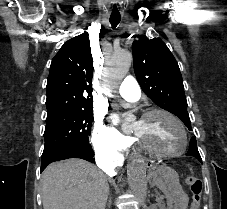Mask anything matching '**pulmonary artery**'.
<instances>
[{
	"label": "pulmonary artery",
	"mask_w": 227,
	"mask_h": 209,
	"mask_svg": "<svg viewBox=\"0 0 227 209\" xmlns=\"http://www.w3.org/2000/svg\"><path fill=\"white\" fill-rule=\"evenodd\" d=\"M119 93L126 99H137L140 96V85L137 79L132 75L126 77L119 87Z\"/></svg>",
	"instance_id": "e3ab8cb5"
}]
</instances>
